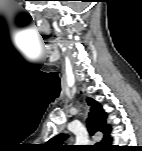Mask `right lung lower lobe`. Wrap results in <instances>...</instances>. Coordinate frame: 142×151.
I'll use <instances>...</instances> for the list:
<instances>
[{"label": "right lung lower lobe", "mask_w": 142, "mask_h": 151, "mask_svg": "<svg viewBox=\"0 0 142 151\" xmlns=\"http://www.w3.org/2000/svg\"><path fill=\"white\" fill-rule=\"evenodd\" d=\"M106 148H111V145H108Z\"/></svg>", "instance_id": "1"}]
</instances>
